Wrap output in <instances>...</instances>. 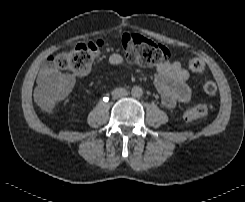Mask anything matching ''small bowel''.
I'll list each match as a JSON object with an SVG mask.
<instances>
[{
    "label": "small bowel",
    "instance_id": "small-bowel-1",
    "mask_svg": "<svg viewBox=\"0 0 245 202\" xmlns=\"http://www.w3.org/2000/svg\"><path fill=\"white\" fill-rule=\"evenodd\" d=\"M123 58L119 53H111L108 56V63L112 66L122 64ZM156 77L154 84L158 90L162 104L166 108H173L178 103L186 104L191 99V90L188 86L189 72L183 67L180 61L172 60L160 63L156 67ZM51 74L41 73L37 77L36 92L38 93L43 86L50 81ZM68 94L74 87V81L68 79Z\"/></svg>",
    "mask_w": 245,
    "mask_h": 202
}]
</instances>
